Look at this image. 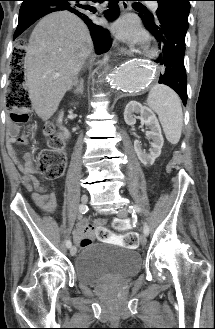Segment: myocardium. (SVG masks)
<instances>
[{
  "label": "myocardium",
  "instance_id": "myocardium-1",
  "mask_svg": "<svg viewBox=\"0 0 215 329\" xmlns=\"http://www.w3.org/2000/svg\"><path fill=\"white\" fill-rule=\"evenodd\" d=\"M157 51L156 50H151L150 52H149V56L150 57H156L157 56Z\"/></svg>",
  "mask_w": 215,
  "mask_h": 329
}]
</instances>
